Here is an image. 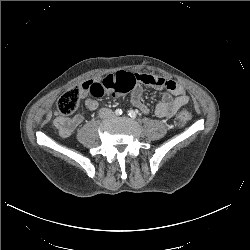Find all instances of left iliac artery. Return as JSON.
<instances>
[{"instance_id": "1", "label": "left iliac artery", "mask_w": 250, "mask_h": 250, "mask_svg": "<svg viewBox=\"0 0 250 250\" xmlns=\"http://www.w3.org/2000/svg\"><path fill=\"white\" fill-rule=\"evenodd\" d=\"M128 115H129L131 118H133V119H135V118L137 117V114H136V112H135L134 110H129V111H128Z\"/></svg>"}]
</instances>
